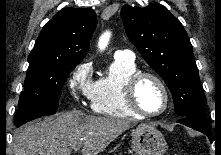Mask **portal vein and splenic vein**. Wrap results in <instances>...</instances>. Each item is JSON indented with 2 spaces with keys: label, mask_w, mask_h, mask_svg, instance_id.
Segmentation results:
<instances>
[{
  "label": "portal vein and splenic vein",
  "mask_w": 221,
  "mask_h": 155,
  "mask_svg": "<svg viewBox=\"0 0 221 155\" xmlns=\"http://www.w3.org/2000/svg\"><path fill=\"white\" fill-rule=\"evenodd\" d=\"M80 148H81V146L79 145V146H76V147L74 148V150L77 151V150H79Z\"/></svg>",
  "instance_id": "1"
}]
</instances>
